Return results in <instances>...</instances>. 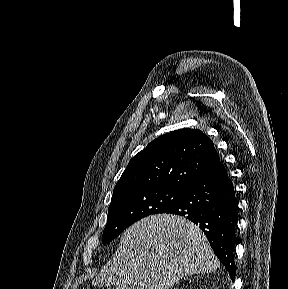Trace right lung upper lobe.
<instances>
[{"instance_id": "1", "label": "right lung upper lobe", "mask_w": 288, "mask_h": 289, "mask_svg": "<svg viewBox=\"0 0 288 289\" xmlns=\"http://www.w3.org/2000/svg\"><path fill=\"white\" fill-rule=\"evenodd\" d=\"M219 163L213 142L202 131L176 130L158 137L130 160L113 194L157 187L186 189Z\"/></svg>"}]
</instances>
